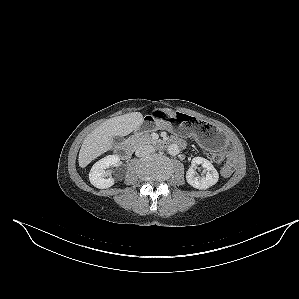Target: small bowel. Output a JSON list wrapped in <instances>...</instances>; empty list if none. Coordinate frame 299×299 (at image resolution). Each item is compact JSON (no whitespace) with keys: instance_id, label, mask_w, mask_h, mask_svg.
<instances>
[{"instance_id":"1","label":"small bowel","mask_w":299,"mask_h":299,"mask_svg":"<svg viewBox=\"0 0 299 299\" xmlns=\"http://www.w3.org/2000/svg\"><path fill=\"white\" fill-rule=\"evenodd\" d=\"M176 140H179V141L181 142V146H183V145H184V142H183V140H181V139H176Z\"/></svg>"}]
</instances>
